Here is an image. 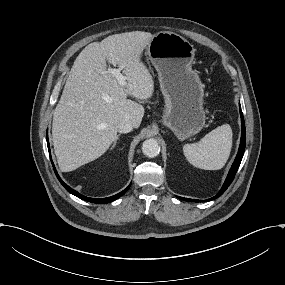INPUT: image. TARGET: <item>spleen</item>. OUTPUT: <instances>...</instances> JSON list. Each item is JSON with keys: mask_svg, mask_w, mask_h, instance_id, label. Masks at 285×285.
<instances>
[{"mask_svg": "<svg viewBox=\"0 0 285 285\" xmlns=\"http://www.w3.org/2000/svg\"><path fill=\"white\" fill-rule=\"evenodd\" d=\"M232 129L221 125L197 144H185L184 156L190 164L204 170H219L226 164L232 148Z\"/></svg>", "mask_w": 285, "mask_h": 285, "instance_id": "obj_1", "label": "spleen"}]
</instances>
